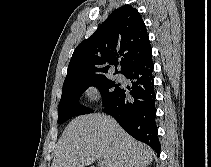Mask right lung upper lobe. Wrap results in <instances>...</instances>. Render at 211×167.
Returning a JSON list of instances; mask_svg holds the SVG:
<instances>
[{
    "label": "right lung upper lobe",
    "instance_id": "obj_1",
    "mask_svg": "<svg viewBox=\"0 0 211 167\" xmlns=\"http://www.w3.org/2000/svg\"><path fill=\"white\" fill-rule=\"evenodd\" d=\"M152 55L146 26L137 9L124 5L116 9L96 32L73 52L64 85L83 79L106 76L120 60L124 73Z\"/></svg>",
    "mask_w": 211,
    "mask_h": 167
}]
</instances>
